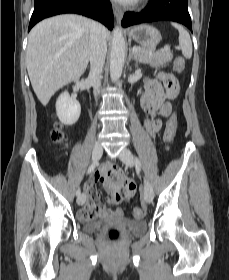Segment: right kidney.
I'll use <instances>...</instances> for the list:
<instances>
[{"mask_svg":"<svg viewBox=\"0 0 229 280\" xmlns=\"http://www.w3.org/2000/svg\"><path fill=\"white\" fill-rule=\"evenodd\" d=\"M56 113L59 120L65 125H73L80 117V103L64 91L57 99Z\"/></svg>","mask_w":229,"mask_h":280,"instance_id":"1","label":"right kidney"}]
</instances>
